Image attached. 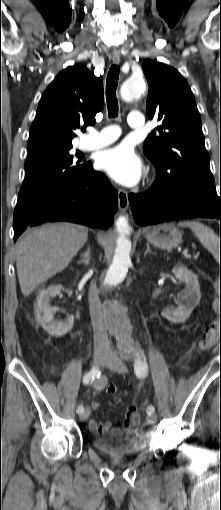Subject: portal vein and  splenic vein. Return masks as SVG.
Masks as SVG:
<instances>
[{
    "label": "portal vein and splenic vein",
    "mask_w": 221,
    "mask_h": 510,
    "mask_svg": "<svg viewBox=\"0 0 221 510\" xmlns=\"http://www.w3.org/2000/svg\"><path fill=\"white\" fill-rule=\"evenodd\" d=\"M183 253L186 254L187 250H185ZM197 258H198V255H194V259H197Z\"/></svg>",
    "instance_id": "obj_1"
}]
</instances>
